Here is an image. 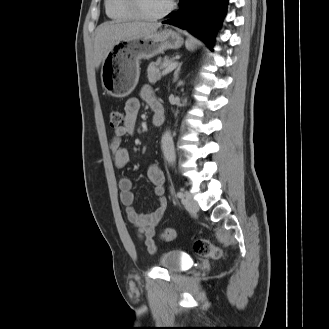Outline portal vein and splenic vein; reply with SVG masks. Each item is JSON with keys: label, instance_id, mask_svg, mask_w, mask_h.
<instances>
[{"label": "portal vein and splenic vein", "instance_id": "1", "mask_svg": "<svg viewBox=\"0 0 329 329\" xmlns=\"http://www.w3.org/2000/svg\"><path fill=\"white\" fill-rule=\"evenodd\" d=\"M177 65V62H172L171 64H169L163 71H162V75H165L169 72H171Z\"/></svg>", "mask_w": 329, "mask_h": 329}]
</instances>
